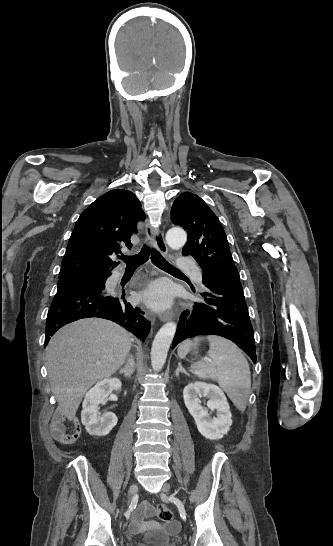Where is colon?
<instances>
[{"label":"colon","mask_w":333,"mask_h":546,"mask_svg":"<svg viewBox=\"0 0 333 546\" xmlns=\"http://www.w3.org/2000/svg\"><path fill=\"white\" fill-rule=\"evenodd\" d=\"M156 513L158 515V517L165 521V522H172L173 521V515H172V512L171 510L163 505V504H158L156 506Z\"/></svg>","instance_id":"5ec220e1"}]
</instances>
